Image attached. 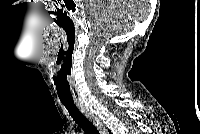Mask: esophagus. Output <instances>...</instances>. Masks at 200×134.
Listing matches in <instances>:
<instances>
[{
	"instance_id": "34e87169",
	"label": "esophagus",
	"mask_w": 200,
	"mask_h": 134,
	"mask_svg": "<svg viewBox=\"0 0 200 134\" xmlns=\"http://www.w3.org/2000/svg\"><path fill=\"white\" fill-rule=\"evenodd\" d=\"M77 107L80 111L94 124V126L98 129L100 134H107V129L101 122V120L96 117L93 112L90 111L88 107H86L83 103H76Z\"/></svg>"
}]
</instances>
